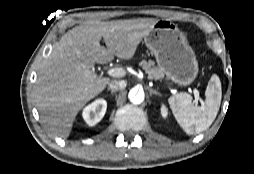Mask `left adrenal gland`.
Instances as JSON below:
<instances>
[{"label":"left adrenal gland","instance_id":"1","mask_svg":"<svg viewBox=\"0 0 254 174\" xmlns=\"http://www.w3.org/2000/svg\"><path fill=\"white\" fill-rule=\"evenodd\" d=\"M148 90H149L150 96H152L153 94L160 96V93L157 90H154L152 88H148Z\"/></svg>","mask_w":254,"mask_h":174}]
</instances>
